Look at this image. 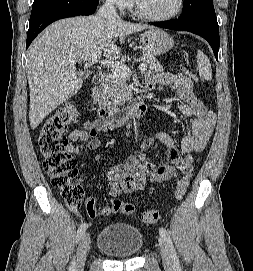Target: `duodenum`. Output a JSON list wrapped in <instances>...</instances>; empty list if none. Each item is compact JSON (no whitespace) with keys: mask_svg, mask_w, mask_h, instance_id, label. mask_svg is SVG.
<instances>
[{"mask_svg":"<svg viewBox=\"0 0 253 271\" xmlns=\"http://www.w3.org/2000/svg\"><path fill=\"white\" fill-rule=\"evenodd\" d=\"M105 80V73L100 71L94 74L92 83L94 88L102 85ZM95 94V91L93 92ZM95 110L98 119L106 126L115 128L133 118L140 117L148 111V102L145 96L137 103L121 108L114 109L95 102Z\"/></svg>","mask_w":253,"mask_h":271,"instance_id":"410a0bca","label":"duodenum"}]
</instances>
